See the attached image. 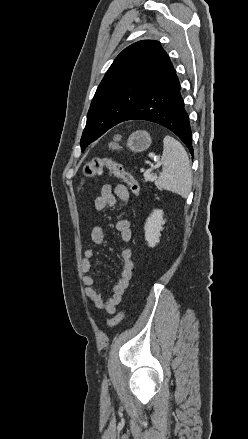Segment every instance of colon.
I'll use <instances>...</instances> for the list:
<instances>
[{"mask_svg":"<svg viewBox=\"0 0 248 439\" xmlns=\"http://www.w3.org/2000/svg\"><path fill=\"white\" fill-rule=\"evenodd\" d=\"M104 170H107L111 176L121 180L134 195L139 194L140 187L136 178L131 173L126 171L120 163L112 159L94 158L86 162L83 166V175L86 178H94L100 176ZM124 315L125 312L120 311L115 316L107 320L106 327H114L123 319Z\"/></svg>","mask_w":248,"mask_h":439,"instance_id":"obj_1","label":"colon"}]
</instances>
